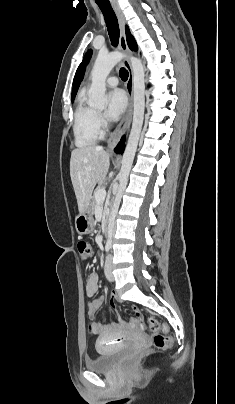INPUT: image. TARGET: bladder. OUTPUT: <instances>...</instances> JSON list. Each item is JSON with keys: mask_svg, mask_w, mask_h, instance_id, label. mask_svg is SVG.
<instances>
[{"mask_svg": "<svg viewBox=\"0 0 235 404\" xmlns=\"http://www.w3.org/2000/svg\"><path fill=\"white\" fill-rule=\"evenodd\" d=\"M106 347L98 346L99 354L92 360L85 362V367L95 373L110 371L123 353V349H114L111 352L103 353Z\"/></svg>", "mask_w": 235, "mask_h": 404, "instance_id": "1", "label": "bladder"}]
</instances>
